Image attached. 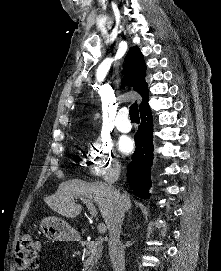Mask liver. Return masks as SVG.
<instances>
[{
	"mask_svg": "<svg viewBox=\"0 0 221 271\" xmlns=\"http://www.w3.org/2000/svg\"><path fill=\"white\" fill-rule=\"evenodd\" d=\"M82 195V197H93L94 201L98 203L101 215L108 227L115 203V197L112 189L102 181H92L87 183L83 179H70V181H63L60 183L54 195L45 197L46 203L52 207L57 213H61L64 217H76L82 211V205L75 203L74 197ZM126 195V193H124ZM132 203L130 197H125V207L130 209Z\"/></svg>",
	"mask_w": 221,
	"mask_h": 271,
	"instance_id": "1",
	"label": "liver"
}]
</instances>
